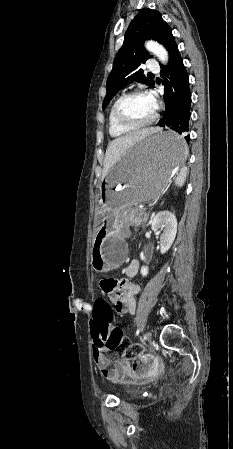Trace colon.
I'll list each match as a JSON object with an SVG mask.
<instances>
[{
	"instance_id": "5ec220e1",
	"label": "colon",
	"mask_w": 233,
	"mask_h": 449,
	"mask_svg": "<svg viewBox=\"0 0 233 449\" xmlns=\"http://www.w3.org/2000/svg\"><path fill=\"white\" fill-rule=\"evenodd\" d=\"M95 308L97 310L92 312L93 319L89 321L91 334H93V349L117 351L121 356L136 359L135 365L140 367L142 362L138 359V355L141 351V346L132 344L121 328L116 326L111 328L110 323L114 317V312L109 304L105 301H97Z\"/></svg>"
}]
</instances>
